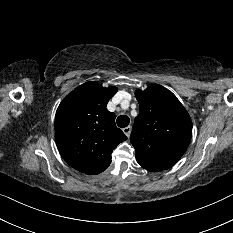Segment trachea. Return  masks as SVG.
<instances>
[{
	"mask_svg": "<svg viewBox=\"0 0 233 233\" xmlns=\"http://www.w3.org/2000/svg\"><path fill=\"white\" fill-rule=\"evenodd\" d=\"M130 122V119L128 116L126 115H121L117 118V125L120 127V128H125L128 126Z\"/></svg>",
	"mask_w": 233,
	"mask_h": 233,
	"instance_id": "1",
	"label": "trachea"
}]
</instances>
